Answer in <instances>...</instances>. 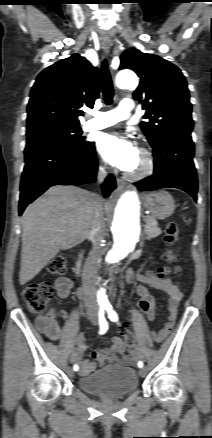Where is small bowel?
<instances>
[{
  "label": "small bowel",
  "mask_w": 212,
  "mask_h": 438,
  "mask_svg": "<svg viewBox=\"0 0 212 438\" xmlns=\"http://www.w3.org/2000/svg\"><path fill=\"white\" fill-rule=\"evenodd\" d=\"M126 280L130 283L137 280L141 284H146L152 288L160 289L167 293L169 297L168 320L156 333V338L158 340H163L170 334L174 326L178 308L183 298V293L179 284L171 280L161 279L151 271L145 274L135 275L133 270H128L126 273ZM72 286V281L68 277H59L55 282L57 294L63 299L69 297ZM135 291L140 297L149 293L146 287L143 285L136 286ZM60 314L67 318V313L65 311H61ZM56 315V310L51 309L47 316L41 317L37 321L39 329L52 340H57L61 334L60 325L55 320ZM154 318L155 312L153 309L152 312L147 316V319L153 321ZM86 349V340L78 336L77 347L72 351L71 359L80 364L81 376L88 375L95 369V364L93 362L89 360H82V355ZM125 352L126 347L122 340L119 338H114L110 347L106 349L95 350L93 351L92 356L99 362L120 363L125 365L135 364L143 356V353L140 350H128L129 355H126Z\"/></svg>",
  "instance_id": "small-bowel-1"
}]
</instances>
